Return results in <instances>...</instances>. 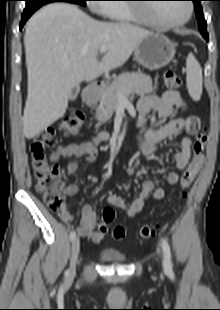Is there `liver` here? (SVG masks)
<instances>
[{"mask_svg":"<svg viewBox=\"0 0 220 310\" xmlns=\"http://www.w3.org/2000/svg\"><path fill=\"white\" fill-rule=\"evenodd\" d=\"M153 34L128 23L100 22L68 3L41 8L24 36L28 94L23 132L32 139L62 118L72 89L122 66L137 44ZM106 47L101 61L98 51Z\"/></svg>","mask_w":220,"mask_h":310,"instance_id":"obj_1","label":"liver"}]
</instances>
